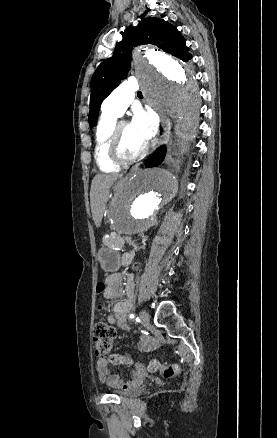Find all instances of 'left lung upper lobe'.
<instances>
[{
    "label": "left lung upper lobe",
    "mask_w": 277,
    "mask_h": 438,
    "mask_svg": "<svg viewBox=\"0 0 277 438\" xmlns=\"http://www.w3.org/2000/svg\"><path fill=\"white\" fill-rule=\"evenodd\" d=\"M111 58L104 60L91 79L89 125L97 122L101 102L117 87L130 69L134 46L153 44L183 61L191 59L184 37L176 27L159 18L148 17L139 21L136 27L122 33Z\"/></svg>",
    "instance_id": "1"
}]
</instances>
